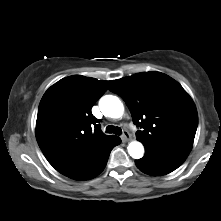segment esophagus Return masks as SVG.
<instances>
[{
	"label": "esophagus",
	"mask_w": 221,
	"mask_h": 221,
	"mask_svg": "<svg viewBox=\"0 0 221 221\" xmlns=\"http://www.w3.org/2000/svg\"><path fill=\"white\" fill-rule=\"evenodd\" d=\"M121 138H122V141L123 142H126L130 139V134L128 131H123V134L121 135Z\"/></svg>",
	"instance_id": "esophagus-1"
}]
</instances>
